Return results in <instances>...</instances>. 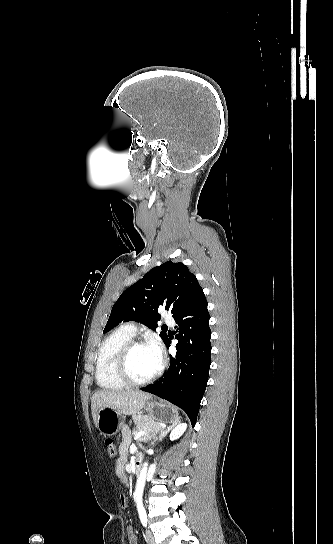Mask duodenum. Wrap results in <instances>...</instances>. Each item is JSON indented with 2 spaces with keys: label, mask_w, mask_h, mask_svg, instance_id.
Segmentation results:
<instances>
[{
  "label": "duodenum",
  "mask_w": 333,
  "mask_h": 544,
  "mask_svg": "<svg viewBox=\"0 0 333 544\" xmlns=\"http://www.w3.org/2000/svg\"><path fill=\"white\" fill-rule=\"evenodd\" d=\"M142 465H143V456L141 454H138L135 457V461H134V464H133V472L134 473L140 472V470L142 468Z\"/></svg>",
  "instance_id": "410a0bca"
}]
</instances>
